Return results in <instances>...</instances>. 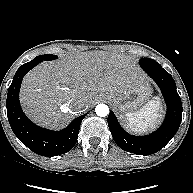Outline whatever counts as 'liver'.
I'll return each mask as SVG.
<instances>
[{
    "label": "liver",
    "mask_w": 193,
    "mask_h": 193,
    "mask_svg": "<svg viewBox=\"0 0 193 193\" xmlns=\"http://www.w3.org/2000/svg\"><path fill=\"white\" fill-rule=\"evenodd\" d=\"M139 79L140 74L123 56L81 53L35 67L23 79L20 101L36 123L55 128L63 126L72 111L81 110L70 109L71 100H82L87 108L105 93L122 91Z\"/></svg>",
    "instance_id": "6515ba94"
}]
</instances>
